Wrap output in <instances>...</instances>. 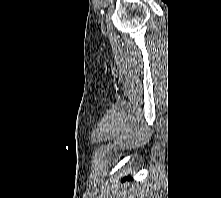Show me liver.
<instances>
[{
    "label": "liver",
    "instance_id": "6515ba94",
    "mask_svg": "<svg viewBox=\"0 0 221 198\" xmlns=\"http://www.w3.org/2000/svg\"><path fill=\"white\" fill-rule=\"evenodd\" d=\"M121 196L119 198H153L154 195L149 191L146 186H132L128 187L127 184L122 187ZM120 196V195H119Z\"/></svg>",
    "mask_w": 221,
    "mask_h": 198
}]
</instances>
